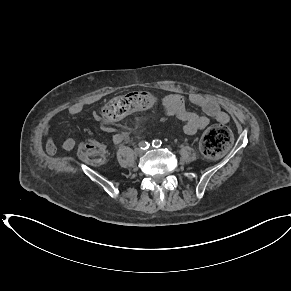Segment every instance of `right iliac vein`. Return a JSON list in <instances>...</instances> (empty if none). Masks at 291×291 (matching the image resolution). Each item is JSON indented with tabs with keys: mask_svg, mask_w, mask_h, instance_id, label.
I'll list each match as a JSON object with an SVG mask.
<instances>
[{
	"mask_svg": "<svg viewBox=\"0 0 291 291\" xmlns=\"http://www.w3.org/2000/svg\"><path fill=\"white\" fill-rule=\"evenodd\" d=\"M134 153L136 154V155H142V150H140L139 148H136L135 150H134Z\"/></svg>",
	"mask_w": 291,
	"mask_h": 291,
	"instance_id": "obj_1",
	"label": "right iliac vein"
}]
</instances>
